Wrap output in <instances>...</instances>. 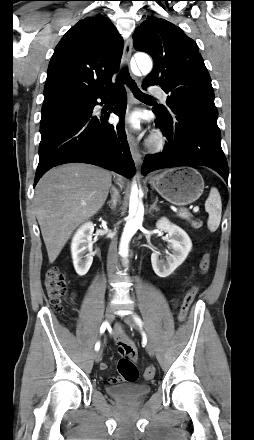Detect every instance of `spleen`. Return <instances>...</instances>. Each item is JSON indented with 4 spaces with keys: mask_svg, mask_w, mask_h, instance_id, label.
Listing matches in <instances>:
<instances>
[{
    "mask_svg": "<svg viewBox=\"0 0 254 440\" xmlns=\"http://www.w3.org/2000/svg\"><path fill=\"white\" fill-rule=\"evenodd\" d=\"M205 210L209 214L207 222L208 229L211 232H214L217 230L220 224L222 212L221 197L217 188L215 187H212L210 190L209 196L205 202ZM178 215L184 219H187L190 216L189 212L186 209H180Z\"/></svg>",
    "mask_w": 254,
    "mask_h": 440,
    "instance_id": "3e777b00",
    "label": "spleen"
}]
</instances>
